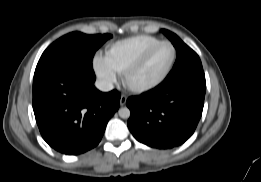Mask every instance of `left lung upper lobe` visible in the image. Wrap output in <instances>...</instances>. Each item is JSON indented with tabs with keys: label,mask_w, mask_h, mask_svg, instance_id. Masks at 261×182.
I'll return each instance as SVG.
<instances>
[{
	"label": "left lung upper lobe",
	"mask_w": 261,
	"mask_h": 182,
	"mask_svg": "<svg viewBox=\"0 0 261 182\" xmlns=\"http://www.w3.org/2000/svg\"><path fill=\"white\" fill-rule=\"evenodd\" d=\"M177 49V59L166 79L160 84L163 86L177 82L188 76L203 74V67L199 56L188 47L176 34L161 30Z\"/></svg>",
	"instance_id": "left-lung-upper-lobe-1"
}]
</instances>
